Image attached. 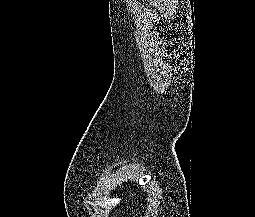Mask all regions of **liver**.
I'll return each instance as SVG.
<instances>
[{
	"mask_svg": "<svg viewBox=\"0 0 255 217\" xmlns=\"http://www.w3.org/2000/svg\"><path fill=\"white\" fill-rule=\"evenodd\" d=\"M130 195L133 197V194L130 192Z\"/></svg>",
	"mask_w": 255,
	"mask_h": 217,
	"instance_id": "1",
	"label": "liver"
}]
</instances>
